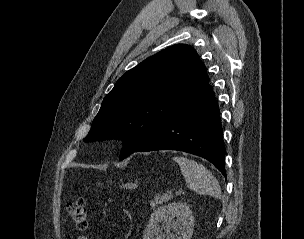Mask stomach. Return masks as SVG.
I'll return each mask as SVG.
<instances>
[{"label": "stomach", "instance_id": "1", "mask_svg": "<svg viewBox=\"0 0 304 239\" xmlns=\"http://www.w3.org/2000/svg\"><path fill=\"white\" fill-rule=\"evenodd\" d=\"M122 187L123 188L133 189V188H136L137 185L135 183H127V184H123Z\"/></svg>", "mask_w": 304, "mask_h": 239}]
</instances>
